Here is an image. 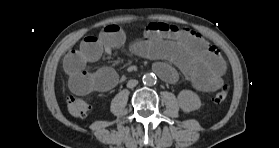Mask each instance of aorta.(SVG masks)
<instances>
[{
	"mask_svg": "<svg viewBox=\"0 0 279 148\" xmlns=\"http://www.w3.org/2000/svg\"><path fill=\"white\" fill-rule=\"evenodd\" d=\"M142 81L145 85L152 86L156 83V76L153 73H147L143 76Z\"/></svg>",
	"mask_w": 279,
	"mask_h": 148,
	"instance_id": "aorta-1",
	"label": "aorta"
}]
</instances>
